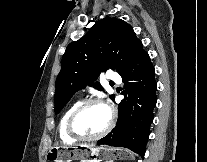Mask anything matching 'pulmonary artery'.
I'll use <instances>...</instances> for the list:
<instances>
[{"instance_id":"obj_1","label":"pulmonary artery","mask_w":207,"mask_h":162,"mask_svg":"<svg viewBox=\"0 0 207 162\" xmlns=\"http://www.w3.org/2000/svg\"><path fill=\"white\" fill-rule=\"evenodd\" d=\"M108 77L110 79H112L117 84H120V82H121L120 76L118 74H116V73H111V74H109Z\"/></svg>"}]
</instances>
